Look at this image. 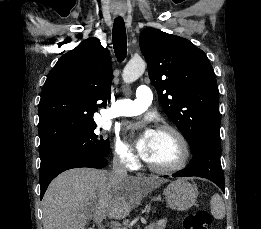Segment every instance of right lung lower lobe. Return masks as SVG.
Returning a JSON list of instances; mask_svg holds the SVG:
<instances>
[{
    "mask_svg": "<svg viewBox=\"0 0 261 229\" xmlns=\"http://www.w3.org/2000/svg\"><path fill=\"white\" fill-rule=\"evenodd\" d=\"M108 161L106 157H83L47 162L40 166L39 180L42 199L49 183L61 172L78 167L104 168Z\"/></svg>",
    "mask_w": 261,
    "mask_h": 229,
    "instance_id": "right-lung-lower-lobe-1",
    "label": "right lung lower lobe"
}]
</instances>
